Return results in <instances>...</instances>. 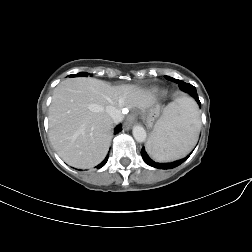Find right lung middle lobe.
Returning <instances> with one entry per match:
<instances>
[{"mask_svg":"<svg viewBox=\"0 0 252 252\" xmlns=\"http://www.w3.org/2000/svg\"><path fill=\"white\" fill-rule=\"evenodd\" d=\"M87 76H88V73L81 72V73H78V74L70 75L69 77H87Z\"/></svg>","mask_w":252,"mask_h":252,"instance_id":"obj_1","label":"right lung middle lobe"}]
</instances>
